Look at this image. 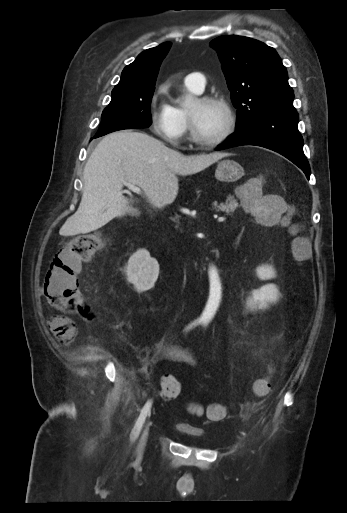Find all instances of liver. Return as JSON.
Segmentation results:
<instances>
[{"label": "liver", "mask_w": 347, "mask_h": 513, "mask_svg": "<svg viewBox=\"0 0 347 513\" xmlns=\"http://www.w3.org/2000/svg\"><path fill=\"white\" fill-rule=\"evenodd\" d=\"M228 153L184 156L143 132L123 130L105 136L88 159L82 199L59 233L62 236L97 230L129 209L124 183L141 188L157 208L171 204L178 193L177 175L196 174Z\"/></svg>", "instance_id": "1"}]
</instances>
